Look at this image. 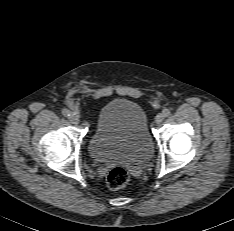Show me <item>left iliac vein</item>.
<instances>
[{
	"mask_svg": "<svg viewBox=\"0 0 234 231\" xmlns=\"http://www.w3.org/2000/svg\"><path fill=\"white\" fill-rule=\"evenodd\" d=\"M164 115H163V113H159V114H157L156 115V117H155V122L157 123V124H160L163 120H164Z\"/></svg>",
	"mask_w": 234,
	"mask_h": 231,
	"instance_id": "left-iliac-vein-1",
	"label": "left iliac vein"
}]
</instances>
